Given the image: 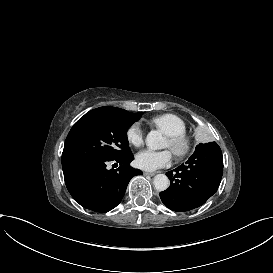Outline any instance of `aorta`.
I'll return each instance as SVG.
<instances>
[{"instance_id": "762f6f07", "label": "aorta", "mask_w": 273, "mask_h": 273, "mask_svg": "<svg viewBox=\"0 0 273 273\" xmlns=\"http://www.w3.org/2000/svg\"><path fill=\"white\" fill-rule=\"evenodd\" d=\"M146 145L151 149H161L165 145V139L160 131L152 130L146 137ZM169 179L164 174H157L153 179V185L157 191H165L169 187Z\"/></svg>"}]
</instances>
